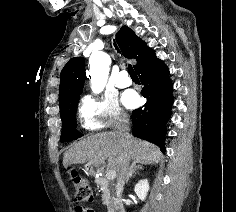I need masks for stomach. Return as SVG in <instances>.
<instances>
[{
	"mask_svg": "<svg viewBox=\"0 0 236 212\" xmlns=\"http://www.w3.org/2000/svg\"><path fill=\"white\" fill-rule=\"evenodd\" d=\"M84 171L89 175H94L96 173V167L86 164L84 166Z\"/></svg>",
	"mask_w": 236,
	"mask_h": 212,
	"instance_id": "0dacf381",
	"label": "stomach"
}]
</instances>
